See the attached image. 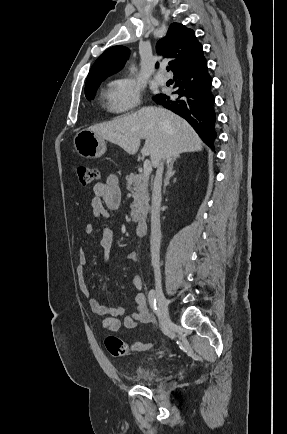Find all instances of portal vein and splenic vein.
<instances>
[{"label": "portal vein and splenic vein", "mask_w": 287, "mask_h": 434, "mask_svg": "<svg viewBox=\"0 0 287 434\" xmlns=\"http://www.w3.org/2000/svg\"><path fill=\"white\" fill-rule=\"evenodd\" d=\"M143 168H144V170H143V175H144L145 178L148 179V178H149V175H150L151 172H152V165H151V162H150L148 159H146V160L144 161Z\"/></svg>", "instance_id": "obj_1"}]
</instances>
